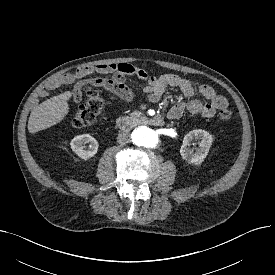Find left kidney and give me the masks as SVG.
<instances>
[{
	"label": "left kidney",
	"instance_id": "obj_1",
	"mask_svg": "<svg viewBox=\"0 0 275 275\" xmlns=\"http://www.w3.org/2000/svg\"><path fill=\"white\" fill-rule=\"evenodd\" d=\"M194 139L199 140V148L195 149V151L188 147ZM212 142L213 138L207 131L202 129L192 130L184 136L180 154L190 164H201L207 157Z\"/></svg>",
	"mask_w": 275,
	"mask_h": 275
}]
</instances>
